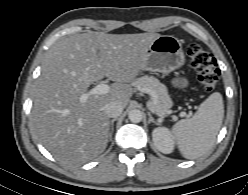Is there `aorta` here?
Returning <instances> with one entry per match:
<instances>
[{"label": "aorta", "mask_w": 248, "mask_h": 195, "mask_svg": "<svg viewBox=\"0 0 248 195\" xmlns=\"http://www.w3.org/2000/svg\"><path fill=\"white\" fill-rule=\"evenodd\" d=\"M142 117H143V113L139 109H132L128 113V118L133 123H139V122H141Z\"/></svg>", "instance_id": "1"}]
</instances>
